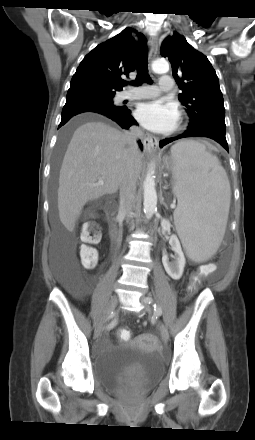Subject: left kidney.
<instances>
[{
  "label": "left kidney",
  "mask_w": 255,
  "mask_h": 440,
  "mask_svg": "<svg viewBox=\"0 0 255 440\" xmlns=\"http://www.w3.org/2000/svg\"><path fill=\"white\" fill-rule=\"evenodd\" d=\"M170 223L167 220L162 221V227L164 230L170 229ZM169 244L174 251V261L170 262L167 254L163 252L162 263L167 274L174 280H179L182 277L185 267V257L182 251L180 242L175 235H171Z\"/></svg>",
  "instance_id": "left-kidney-1"
}]
</instances>
